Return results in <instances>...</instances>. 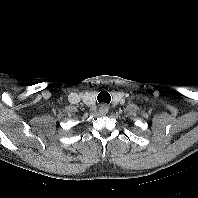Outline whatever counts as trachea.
I'll use <instances>...</instances> for the list:
<instances>
[{"instance_id":"trachea-1","label":"trachea","mask_w":198,"mask_h":198,"mask_svg":"<svg viewBox=\"0 0 198 198\" xmlns=\"http://www.w3.org/2000/svg\"><path fill=\"white\" fill-rule=\"evenodd\" d=\"M97 100L99 103L109 104L111 101L110 94L107 91H102L98 94Z\"/></svg>"}]
</instances>
